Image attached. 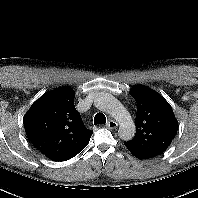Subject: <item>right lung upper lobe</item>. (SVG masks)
Segmentation results:
<instances>
[{
	"mask_svg": "<svg viewBox=\"0 0 198 198\" xmlns=\"http://www.w3.org/2000/svg\"><path fill=\"white\" fill-rule=\"evenodd\" d=\"M75 92L60 87L45 93L24 117L26 135L46 157L83 149L90 140L88 130L74 105Z\"/></svg>",
	"mask_w": 198,
	"mask_h": 198,
	"instance_id": "obj_1",
	"label": "right lung upper lobe"
}]
</instances>
